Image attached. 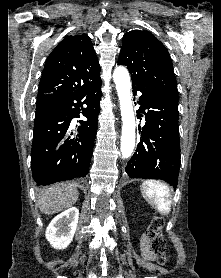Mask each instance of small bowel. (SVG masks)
I'll list each match as a JSON object with an SVG mask.
<instances>
[{"label":"small bowel","instance_id":"small-bowel-1","mask_svg":"<svg viewBox=\"0 0 221 278\" xmlns=\"http://www.w3.org/2000/svg\"><path fill=\"white\" fill-rule=\"evenodd\" d=\"M141 246H142V252H143L144 257L147 258L148 260H153L154 256L152 255V253L149 250V239L146 235L142 236Z\"/></svg>","mask_w":221,"mask_h":278}]
</instances>
